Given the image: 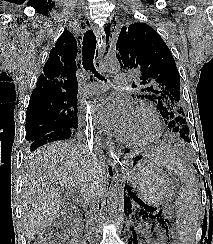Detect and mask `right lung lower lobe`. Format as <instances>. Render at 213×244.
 <instances>
[{
	"instance_id": "right-lung-lower-lobe-1",
	"label": "right lung lower lobe",
	"mask_w": 213,
	"mask_h": 244,
	"mask_svg": "<svg viewBox=\"0 0 213 244\" xmlns=\"http://www.w3.org/2000/svg\"><path fill=\"white\" fill-rule=\"evenodd\" d=\"M74 129H61L57 131H52L39 139L29 143L30 151L36 150L38 147L43 146L47 143L58 141V140H65L71 137ZM109 173L112 174V168L110 167Z\"/></svg>"
}]
</instances>
